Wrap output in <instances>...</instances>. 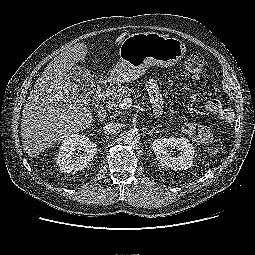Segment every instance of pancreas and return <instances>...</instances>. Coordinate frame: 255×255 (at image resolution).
Here are the masks:
<instances>
[{
    "label": "pancreas",
    "instance_id": "cf45deb5",
    "mask_svg": "<svg viewBox=\"0 0 255 255\" xmlns=\"http://www.w3.org/2000/svg\"><path fill=\"white\" fill-rule=\"evenodd\" d=\"M132 94H134V90L132 88H129L128 86L119 88L108 98L106 108L108 109V111L115 110V115L121 116L122 112L119 111L118 105L123 98L130 97Z\"/></svg>",
    "mask_w": 255,
    "mask_h": 255
}]
</instances>
